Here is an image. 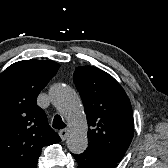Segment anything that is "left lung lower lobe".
I'll return each instance as SVG.
<instances>
[{
    "mask_svg": "<svg viewBox=\"0 0 168 168\" xmlns=\"http://www.w3.org/2000/svg\"><path fill=\"white\" fill-rule=\"evenodd\" d=\"M74 158L78 162V168H114L118 163L89 149L79 155H74Z\"/></svg>",
    "mask_w": 168,
    "mask_h": 168,
    "instance_id": "left-lung-lower-lobe-1",
    "label": "left lung lower lobe"
}]
</instances>
